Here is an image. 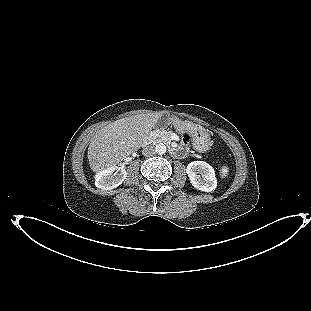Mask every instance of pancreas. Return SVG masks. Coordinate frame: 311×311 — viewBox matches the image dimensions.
<instances>
[{
    "instance_id": "pancreas-1",
    "label": "pancreas",
    "mask_w": 311,
    "mask_h": 311,
    "mask_svg": "<svg viewBox=\"0 0 311 311\" xmlns=\"http://www.w3.org/2000/svg\"><path fill=\"white\" fill-rule=\"evenodd\" d=\"M170 135H171L170 131L167 132L165 130H161L156 134V137L158 138L157 141L170 142L171 141Z\"/></svg>"
}]
</instances>
